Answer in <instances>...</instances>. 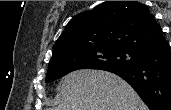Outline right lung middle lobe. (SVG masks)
I'll list each match as a JSON object with an SVG mask.
<instances>
[{"mask_svg":"<svg viewBox=\"0 0 171 110\" xmlns=\"http://www.w3.org/2000/svg\"><path fill=\"white\" fill-rule=\"evenodd\" d=\"M138 60V52L125 48H99L51 58L45 82H52L67 73L84 68L111 70L129 67Z\"/></svg>","mask_w":171,"mask_h":110,"instance_id":"1","label":"right lung middle lobe"}]
</instances>
